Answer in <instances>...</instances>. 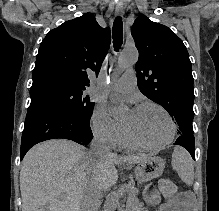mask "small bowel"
<instances>
[{
	"mask_svg": "<svg viewBox=\"0 0 219 211\" xmlns=\"http://www.w3.org/2000/svg\"><path fill=\"white\" fill-rule=\"evenodd\" d=\"M147 201L150 206H158L159 211H192L194 206L192 194L182 193L177 201L161 203L159 194L153 189L148 191Z\"/></svg>",
	"mask_w": 219,
	"mask_h": 211,
	"instance_id": "c3829d8e",
	"label": "small bowel"
}]
</instances>
